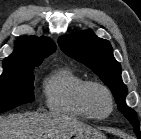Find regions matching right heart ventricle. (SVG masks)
Instances as JSON below:
<instances>
[{"instance_id":"e07e8e85","label":"right heart ventricle","mask_w":141,"mask_h":139,"mask_svg":"<svg viewBox=\"0 0 141 139\" xmlns=\"http://www.w3.org/2000/svg\"><path fill=\"white\" fill-rule=\"evenodd\" d=\"M87 80L70 67L51 72L43 81L42 89L47 108L56 113L91 119L81 102V89Z\"/></svg>"}]
</instances>
